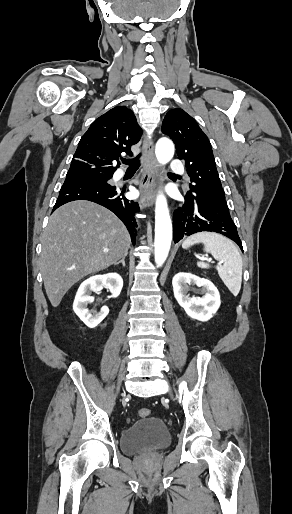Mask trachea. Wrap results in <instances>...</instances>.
I'll use <instances>...</instances> for the list:
<instances>
[{
    "instance_id": "trachea-1",
    "label": "trachea",
    "mask_w": 292,
    "mask_h": 514,
    "mask_svg": "<svg viewBox=\"0 0 292 514\" xmlns=\"http://www.w3.org/2000/svg\"><path fill=\"white\" fill-rule=\"evenodd\" d=\"M141 154L137 155L134 159H121L123 164L129 165L127 170H138L140 167Z\"/></svg>"
}]
</instances>
